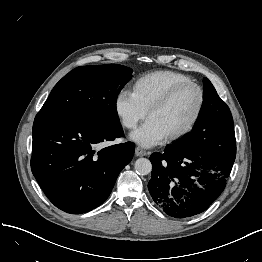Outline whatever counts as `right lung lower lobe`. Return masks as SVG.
Segmentation results:
<instances>
[{"instance_id": "98d812e1", "label": "right lung lower lobe", "mask_w": 262, "mask_h": 262, "mask_svg": "<svg viewBox=\"0 0 262 262\" xmlns=\"http://www.w3.org/2000/svg\"><path fill=\"white\" fill-rule=\"evenodd\" d=\"M32 135V173L49 200L71 214L102 204L135 150L126 142L96 151L99 143L123 135L121 125L100 126L60 111L40 110Z\"/></svg>"}]
</instances>
